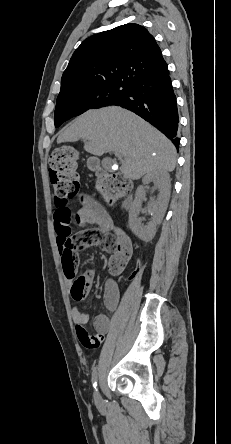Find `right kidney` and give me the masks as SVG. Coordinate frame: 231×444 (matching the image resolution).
<instances>
[{"label": "right kidney", "instance_id": "1", "mask_svg": "<svg viewBox=\"0 0 231 444\" xmlns=\"http://www.w3.org/2000/svg\"><path fill=\"white\" fill-rule=\"evenodd\" d=\"M153 182L159 189L156 200H152L148 209L152 214V221L147 225L142 224V218L139 217L142 198L145 196V186ZM171 184L170 176L165 171H153L144 176L142 185L139 186L135 193L134 202L129 212V226L132 232L143 241H150L156 234L157 225L161 223L170 198Z\"/></svg>", "mask_w": 231, "mask_h": 444}]
</instances>
